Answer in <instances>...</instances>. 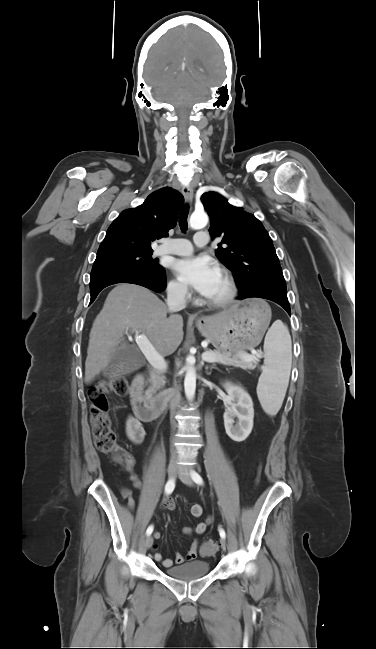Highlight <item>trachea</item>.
I'll return each mask as SVG.
<instances>
[{"mask_svg": "<svg viewBox=\"0 0 376 649\" xmlns=\"http://www.w3.org/2000/svg\"><path fill=\"white\" fill-rule=\"evenodd\" d=\"M189 213L188 205H184L179 214V226L183 232L187 230V218Z\"/></svg>", "mask_w": 376, "mask_h": 649, "instance_id": "3493384b", "label": "trachea"}]
</instances>
